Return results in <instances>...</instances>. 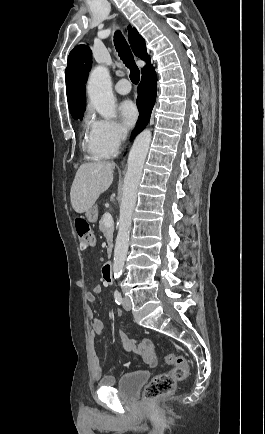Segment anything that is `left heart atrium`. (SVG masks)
<instances>
[{"label": "left heart atrium", "instance_id": "obj_1", "mask_svg": "<svg viewBox=\"0 0 265 434\" xmlns=\"http://www.w3.org/2000/svg\"><path fill=\"white\" fill-rule=\"evenodd\" d=\"M120 114L123 125L131 128L138 118V109L133 102L125 101L120 106Z\"/></svg>", "mask_w": 265, "mask_h": 434}]
</instances>
